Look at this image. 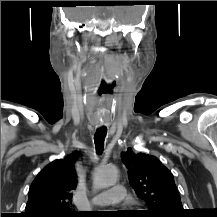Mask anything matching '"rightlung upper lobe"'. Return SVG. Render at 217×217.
<instances>
[{
    "label": "right lung upper lobe",
    "mask_w": 217,
    "mask_h": 217,
    "mask_svg": "<svg viewBox=\"0 0 217 217\" xmlns=\"http://www.w3.org/2000/svg\"><path fill=\"white\" fill-rule=\"evenodd\" d=\"M75 152L57 159L39 172L29 189V199L23 217H59L78 215L71 212L72 190L77 180L74 169Z\"/></svg>",
    "instance_id": "cb5924a9"
}]
</instances>
